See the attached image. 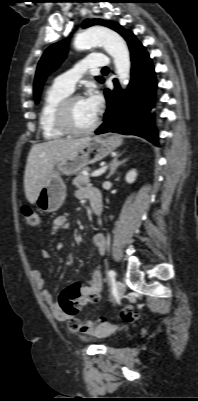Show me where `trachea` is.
Masks as SVG:
<instances>
[{
  "instance_id": "obj_1",
  "label": "trachea",
  "mask_w": 198,
  "mask_h": 401,
  "mask_svg": "<svg viewBox=\"0 0 198 401\" xmlns=\"http://www.w3.org/2000/svg\"><path fill=\"white\" fill-rule=\"evenodd\" d=\"M109 69L107 68V67H104L103 69H102V71H108Z\"/></svg>"
}]
</instances>
